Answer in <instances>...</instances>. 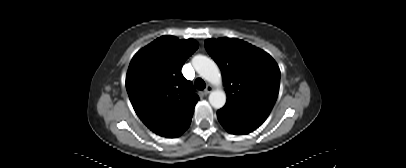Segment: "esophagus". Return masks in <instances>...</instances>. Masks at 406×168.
Masks as SVG:
<instances>
[{
  "mask_svg": "<svg viewBox=\"0 0 406 168\" xmlns=\"http://www.w3.org/2000/svg\"><path fill=\"white\" fill-rule=\"evenodd\" d=\"M213 90L211 85H207L206 89L204 90V94L207 95Z\"/></svg>",
  "mask_w": 406,
  "mask_h": 168,
  "instance_id": "esophagus-1",
  "label": "esophagus"
}]
</instances>
